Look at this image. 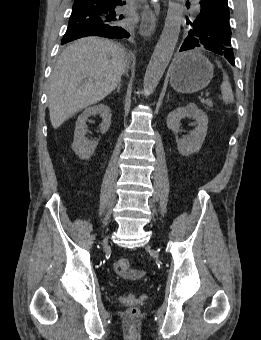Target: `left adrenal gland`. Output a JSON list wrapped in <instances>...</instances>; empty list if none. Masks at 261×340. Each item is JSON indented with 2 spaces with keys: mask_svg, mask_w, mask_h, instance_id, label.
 I'll return each instance as SVG.
<instances>
[{
  "mask_svg": "<svg viewBox=\"0 0 261 340\" xmlns=\"http://www.w3.org/2000/svg\"><path fill=\"white\" fill-rule=\"evenodd\" d=\"M170 101V99H169V94L167 95V102H169Z\"/></svg>",
  "mask_w": 261,
  "mask_h": 340,
  "instance_id": "a2214340",
  "label": "left adrenal gland"
}]
</instances>
